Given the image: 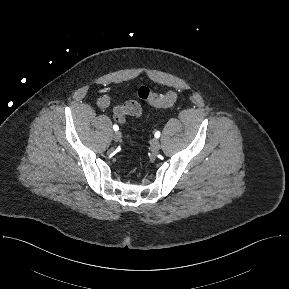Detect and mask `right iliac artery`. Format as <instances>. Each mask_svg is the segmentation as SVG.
I'll return each instance as SVG.
<instances>
[{
	"label": "right iliac artery",
	"instance_id": "obj_1",
	"mask_svg": "<svg viewBox=\"0 0 289 289\" xmlns=\"http://www.w3.org/2000/svg\"><path fill=\"white\" fill-rule=\"evenodd\" d=\"M113 129L115 130V131H117L118 129H119V127H118V125H113Z\"/></svg>",
	"mask_w": 289,
	"mask_h": 289
}]
</instances>
